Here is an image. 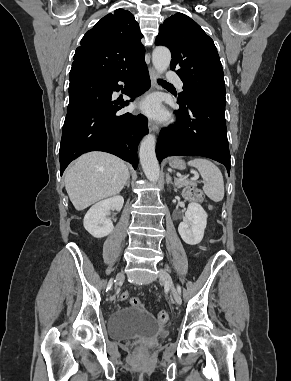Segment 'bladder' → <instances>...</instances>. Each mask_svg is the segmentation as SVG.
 <instances>
[{
  "mask_svg": "<svg viewBox=\"0 0 291 381\" xmlns=\"http://www.w3.org/2000/svg\"><path fill=\"white\" fill-rule=\"evenodd\" d=\"M108 333L115 340L164 336L166 327L142 307H121L108 318Z\"/></svg>",
  "mask_w": 291,
  "mask_h": 381,
  "instance_id": "31cf9c89",
  "label": "bladder"
}]
</instances>
